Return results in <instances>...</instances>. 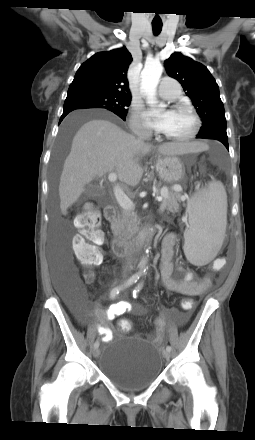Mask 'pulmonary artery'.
Returning <instances> with one entry per match:
<instances>
[{
  "instance_id": "e3ab8cb5",
  "label": "pulmonary artery",
  "mask_w": 255,
  "mask_h": 440,
  "mask_svg": "<svg viewBox=\"0 0 255 440\" xmlns=\"http://www.w3.org/2000/svg\"><path fill=\"white\" fill-rule=\"evenodd\" d=\"M158 93L163 99L175 100L179 97L181 89L175 79L171 77H164L162 78L158 87Z\"/></svg>"
}]
</instances>
